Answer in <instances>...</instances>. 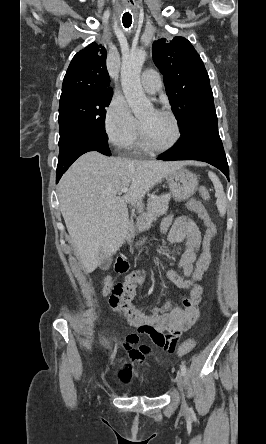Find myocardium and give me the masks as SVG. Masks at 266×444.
<instances>
[{
  "label": "myocardium",
  "instance_id": "1",
  "mask_svg": "<svg viewBox=\"0 0 266 444\" xmlns=\"http://www.w3.org/2000/svg\"><path fill=\"white\" fill-rule=\"evenodd\" d=\"M155 111L159 114L168 116L173 121L174 127H175V136H174L173 140L170 142V144H168L165 147H158V146L154 145L150 141L143 124L140 122L141 137H142V141H143L144 146L148 150L153 151V152H157V153H162V152H166V151L173 149L178 144V142L181 138L182 132H181L180 122H179L177 116L172 111L166 110V109H159V110H155Z\"/></svg>",
  "mask_w": 266,
  "mask_h": 444
}]
</instances>
